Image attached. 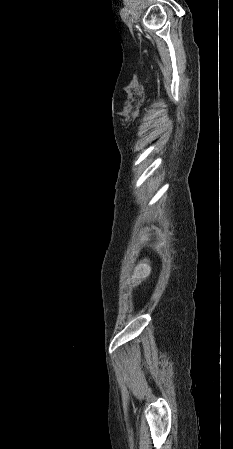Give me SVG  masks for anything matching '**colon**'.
I'll return each mask as SVG.
<instances>
[{
    "label": "colon",
    "instance_id": "5ec220e1",
    "mask_svg": "<svg viewBox=\"0 0 233 449\" xmlns=\"http://www.w3.org/2000/svg\"><path fill=\"white\" fill-rule=\"evenodd\" d=\"M147 272H148L147 267H146V266H142V267L138 270V272L136 273V277H137L138 279H142V278H144V277L146 276Z\"/></svg>",
    "mask_w": 233,
    "mask_h": 449
}]
</instances>
